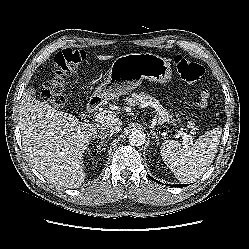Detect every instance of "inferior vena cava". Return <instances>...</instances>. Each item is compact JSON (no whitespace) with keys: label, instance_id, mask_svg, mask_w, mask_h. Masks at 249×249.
I'll use <instances>...</instances> for the list:
<instances>
[{"label":"inferior vena cava","instance_id":"obj_1","mask_svg":"<svg viewBox=\"0 0 249 249\" xmlns=\"http://www.w3.org/2000/svg\"><path fill=\"white\" fill-rule=\"evenodd\" d=\"M101 130L105 133L113 135L114 133H118L120 131V125L117 123H105L101 126Z\"/></svg>","mask_w":249,"mask_h":249}]
</instances>
